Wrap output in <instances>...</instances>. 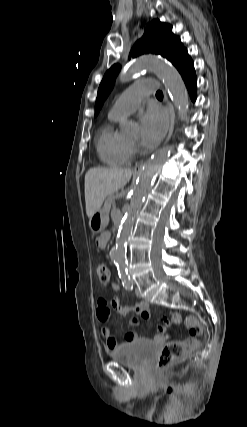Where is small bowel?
I'll return each mask as SVG.
<instances>
[{
    "label": "small bowel",
    "instance_id": "1",
    "mask_svg": "<svg viewBox=\"0 0 247 427\" xmlns=\"http://www.w3.org/2000/svg\"><path fill=\"white\" fill-rule=\"evenodd\" d=\"M110 232H104L97 238V245L100 248H104L109 239ZM114 291H119L120 287L117 284L111 285ZM115 311L116 313L126 316L130 313L138 314L142 319L147 320L151 316L150 307L147 302H139L133 306H125L119 297H113L111 300H107L105 298H100L98 300L96 315L99 322L102 324L101 333L105 339L106 347L110 351H115L126 344L136 340L138 338L137 334L133 331H128L125 334L124 341L120 344L117 343L115 338L113 337L110 328L107 325V322L110 317L111 311ZM170 319L167 317L159 318V321L156 326V334L153 339L157 342H162L165 339V332L170 326L171 322L178 324L181 322V315L177 312H170ZM139 323V319L134 317L130 320L129 326H135Z\"/></svg>",
    "mask_w": 247,
    "mask_h": 427
}]
</instances>
